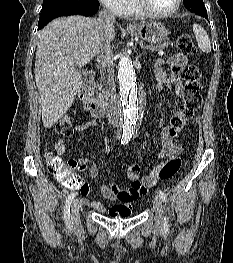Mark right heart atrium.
I'll return each instance as SVG.
<instances>
[{
	"label": "right heart atrium",
	"instance_id": "obj_1",
	"mask_svg": "<svg viewBox=\"0 0 233 263\" xmlns=\"http://www.w3.org/2000/svg\"><path fill=\"white\" fill-rule=\"evenodd\" d=\"M100 2L115 14H121L125 9L128 0H100Z\"/></svg>",
	"mask_w": 233,
	"mask_h": 263
}]
</instances>
